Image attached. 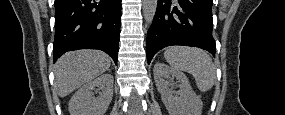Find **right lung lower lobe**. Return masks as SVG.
<instances>
[{
    "mask_svg": "<svg viewBox=\"0 0 285 115\" xmlns=\"http://www.w3.org/2000/svg\"><path fill=\"white\" fill-rule=\"evenodd\" d=\"M121 0H55L54 62L74 49H99L117 64Z\"/></svg>",
    "mask_w": 285,
    "mask_h": 115,
    "instance_id": "98d812e1",
    "label": "right lung lower lobe"
}]
</instances>
